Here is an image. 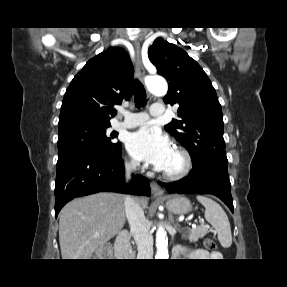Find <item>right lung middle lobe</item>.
<instances>
[{
	"label": "right lung middle lobe",
	"instance_id": "obj_1",
	"mask_svg": "<svg viewBox=\"0 0 287 287\" xmlns=\"http://www.w3.org/2000/svg\"><path fill=\"white\" fill-rule=\"evenodd\" d=\"M105 125L93 123H73L59 127L58 158L70 154H89L103 158H114L120 154L122 145L113 142L116 132L111 134Z\"/></svg>",
	"mask_w": 287,
	"mask_h": 287
}]
</instances>
